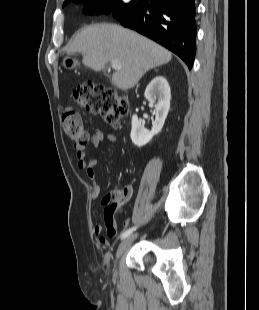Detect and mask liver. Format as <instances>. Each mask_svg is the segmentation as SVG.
<instances>
[{
	"mask_svg": "<svg viewBox=\"0 0 259 310\" xmlns=\"http://www.w3.org/2000/svg\"><path fill=\"white\" fill-rule=\"evenodd\" d=\"M82 53V63L96 72L112 61L122 68L112 75V83L128 90L150 69L168 63L172 53L150 39L114 24L90 25L82 29L65 48Z\"/></svg>",
	"mask_w": 259,
	"mask_h": 310,
	"instance_id": "1",
	"label": "liver"
}]
</instances>
